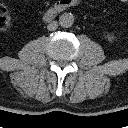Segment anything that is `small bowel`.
<instances>
[{
	"mask_svg": "<svg viewBox=\"0 0 128 128\" xmlns=\"http://www.w3.org/2000/svg\"><path fill=\"white\" fill-rule=\"evenodd\" d=\"M119 1H121V2H128V0H119Z\"/></svg>",
	"mask_w": 128,
	"mask_h": 128,
	"instance_id": "small-bowel-1",
	"label": "small bowel"
}]
</instances>
